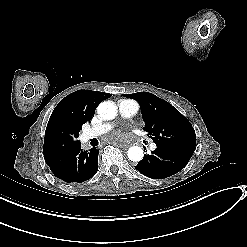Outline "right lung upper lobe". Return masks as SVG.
Returning a JSON list of instances; mask_svg holds the SVG:
<instances>
[{"instance_id":"obj_1","label":"right lung upper lobe","mask_w":247,"mask_h":247,"mask_svg":"<svg viewBox=\"0 0 247 247\" xmlns=\"http://www.w3.org/2000/svg\"><path fill=\"white\" fill-rule=\"evenodd\" d=\"M110 96L105 92L78 90L63 98L48 121L43 151H48L58 141L78 136L82 125L93 117L98 104Z\"/></svg>"}]
</instances>
